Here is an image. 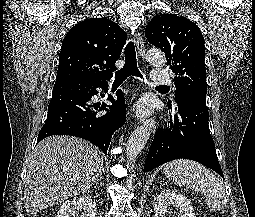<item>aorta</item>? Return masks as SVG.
<instances>
[{"label":"aorta","mask_w":255,"mask_h":217,"mask_svg":"<svg viewBox=\"0 0 255 217\" xmlns=\"http://www.w3.org/2000/svg\"><path fill=\"white\" fill-rule=\"evenodd\" d=\"M148 62L152 65H164L166 58L164 53L158 49H150L146 53ZM151 133V125L148 123L144 126L135 129L127 144H126V155H127V167L130 168L131 174L127 178V187L131 190L134 189V162L138 154L144 148Z\"/></svg>","instance_id":"obj_1"}]
</instances>
